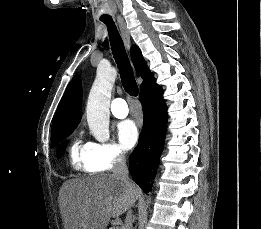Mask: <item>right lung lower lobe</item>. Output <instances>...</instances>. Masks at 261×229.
<instances>
[{
  "instance_id": "1",
  "label": "right lung lower lobe",
  "mask_w": 261,
  "mask_h": 229,
  "mask_svg": "<svg viewBox=\"0 0 261 229\" xmlns=\"http://www.w3.org/2000/svg\"><path fill=\"white\" fill-rule=\"evenodd\" d=\"M144 111L143 129L134 152L130 155L129 171L133 180L148 193L157 172L163 151L167 111L162 98V88L156 82L140 92Z\"/></svg>"
}]
</instances>
